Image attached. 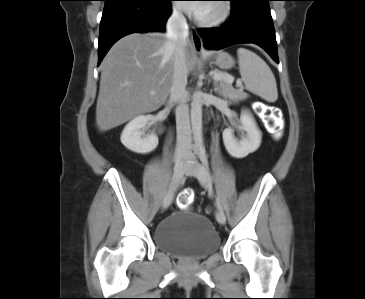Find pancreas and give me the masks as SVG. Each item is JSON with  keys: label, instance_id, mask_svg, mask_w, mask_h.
<instances>
[{"label": "pancreas", "instance_id": "pancreas-1", "mask_svg": "<svg viewBox=\"0 0 365 299\" xmlns=\"http://www.w3.org/2000/svg\"><path fill=\"white\" fill-rule=\"evenodd\" d=\"M214 73L216 74H221L223 76H228L229 74L224 73V72H220V71H215ZM219 87H220V93L225 97V98H229L230 100L233 101H239V100H244L247 98V93L240 91V90H236L232 87V83L226 81V80H220L219 81Z\"/></svg>", "mask_w": 365, "mask_h": 299}]
</instances>
